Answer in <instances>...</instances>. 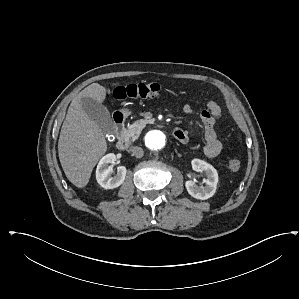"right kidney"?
I'll use <instances>...</instances> for the list:
<instances>
[{"label": "right kidney", "mask_w": 299, "mask_h": 299, "mask_svg": "<svg viewBox=\"0 0 299 299\" xmlns=\"http://www.w3.org/2000/svg\"><path fill=\"white\" fill-rule=\"evenodd\" d=\"M116 161V155L109 153L103 156L96 168V180L98 184L104 189H113L119 187L125 180L127 169L120 166L117 169V174L111 176L113 173V164Z\"/></svg>", "instance_id": "ca27d5eb"}]
</instances>
